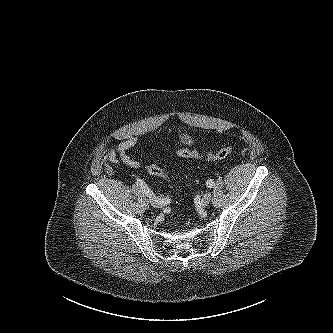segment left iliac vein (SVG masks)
I'll list each match as a JSON object with an SVG mask.
<instances>
[{
  "label": "left iliac vein",
  "mask_w": 333,
  "mask_h": 333,
  "mask_svg": "<svg viewBox=\"0 0 333 333\" xmlns=\"http://www.w3.org/2000/svg\"><path fill=\"white\" fill-rule=\"evenodd\" d=\"M210 199H211V194H210V193H206V194L202 197L201 202H200V205H201L202 207H206V206L209 204Z\"/></svg>",
  "instance_id": "1"
}]
</instances>
